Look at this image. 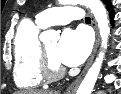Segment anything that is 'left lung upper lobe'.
<instances>
[{
  "label": "left lung upper lobe",
  "instance_id": "5c2ea615",
  "mask_svg": "<svg viewBox=\"0 0 121 94\" xmlns=\"http://www.w3.org/2000/svg\"><path fill=\"white\" fill-rule=\"evenodd\" d=\"M103 2H106L107 3V2H110V0H103Z\"/></svg>",
  "mask_w": 121,
  "mask_h": 94
}]
</instances>
